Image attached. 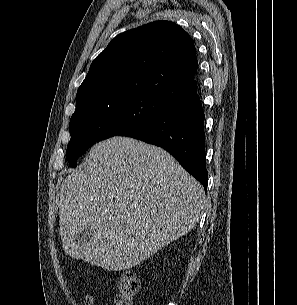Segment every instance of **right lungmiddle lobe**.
I'll return each mask as SVG.
<instances>
[{
	"mask_svg": "<svg viewBox=\"0 0 297 305\" xmlns=\"http://www.w3.org/2000/svg\"><path fill=\"white\" fill-rule=\"evenodd\" d=\"M169 100L147 94H122L76 109L70 119L71 139L66 158L72 167L93 144L119 135L158 113Z\"/></svg>",
	"mask_w": 297,
	"mask_h": 305,
	"instance_id": "right-lung-middle-lobe-1",
	"label": "right lung middle lobe"
}]
</instances>
